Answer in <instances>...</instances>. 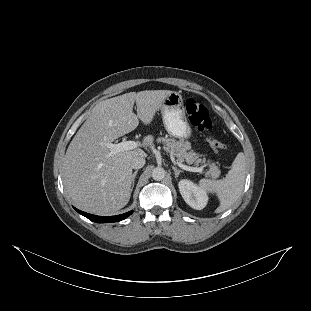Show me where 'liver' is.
Here are the masks:
<instances>
[{"label":"liver","instance_id":"1","mask_svg":"<svg viewBox=\"0 0 311 311\" xmlns=\"http://www.w3.org/2000/svg\"><path fill=\"white\" fill-rule=\"evenodd\" d=\"M171 90L128 92L99 102L68 146L63 160V184L75 205L89 213L107 215L123 208L131 196V161L146 158L140 148L111 157L106 143L152 122ZM136 103L137 114L133 112ZM154 137L143 138L144 147Z\"/></svg>","mask_w":311,"mask_h":311}]
</instances>
